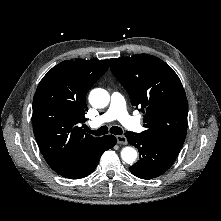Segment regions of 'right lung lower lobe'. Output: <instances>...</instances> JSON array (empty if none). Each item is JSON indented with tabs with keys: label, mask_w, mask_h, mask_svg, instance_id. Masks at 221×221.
I'll return each mask as SVG.
<instances>
[{
	"label": "right lung lower lobe",
	"mask_w": 221,
	"mask_h": 221,
	"mask_svg": "<svg viewBox=\"0 0 221 221\" xmlns=\"http://www.w3.org/2000/svg\"><path fill=\"white\" fill-rule=\"evenodd\" d=\"M115 144V136L106 135L102 137L93 150L87 153L70 172L62 174V176L69 179H79L89 175L95 170L101 155Z\"/></svg>",
	"instance_id": "98d812e1"
}]
</instances>
